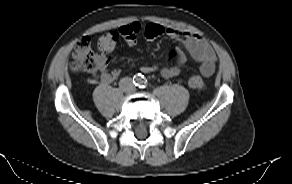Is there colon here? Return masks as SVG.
<instances>
[{"instance_id":"obj_1","label":"colon","mask_w":292,"mask_h":184,"mask_svg":"<svg viewBox=\"0 0 292 184\" xmlns=\"http://www.w3.org/2000/svg\"><path fill=\"white\" fill-rule=\"evenodd\" d=\"M145 39L149 43H154L156 39L163 34V28L159 24L149 23L144 27L143 31ZM119 39V33L117 31H110L100 37L98 40V49L100 52H110L114 49ZM179 57L177 50H172L169 55V60H174ZM96 66V55L92 49L91 41L88 37H83L75 44V50L73 53V61L71 68L75 72L80 71H92ZM189 85L192 88L203 90L206 87V83L200 76H193L189 79Z\"/></svg>"}]
</instances>
